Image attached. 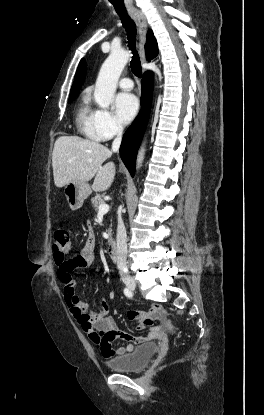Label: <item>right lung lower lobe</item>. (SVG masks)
Wrapping results in <instances>:
<instances>
[{
	"label": "right lung lower lobe",
	"instance_id": "right-lung-lower-lobe-1",
	"mask_svg": "<svg viewBox=\"0 0 264 415\" xmlns=\"http://www.w3.org/2000/svg\"><path fill=\"white\" fill-rule=\"evenodd\" d=\"M142 109L134 120L132 125L125 132L121 147L120 154L123 162L128 168L131 176L135 173V162L137 152L142 141L147 122L150 115L152 93H153V74L152 72H146L142 79Z\"/></svg>",
	"mask_w": 264,
	"mask_h": 415
}]
</instances>
